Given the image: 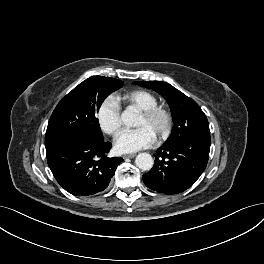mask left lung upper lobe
Instances as JSON below:
<instances>
[{
	"mask_svg": "<svg viewBox=\"0 0 264 264\" xmlns=\"http://www.w3.org/2000/svg\"><path fill=\"white\" fill-rule=\"evenodd\" d=\"M133 84L158 92L168 102L174 127L165 144L210 135L208 120L199 105L172 85L160 81H136Z\"/></svg>",
	"mask_w": 264,
	"mask_h": 264,
	"instance_id": "1",
	"label": "left lung upper lobe"
}]
</instances>
